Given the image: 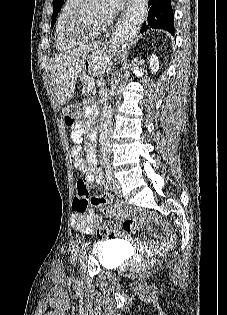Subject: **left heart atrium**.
Returning a JSON list of instances; mask_svg holds the SVG:
<instances>
[{
	"label": "left heart atrium",
	"mask_w": 227,
	"mask_h": 315,
	"mask_svg": "<svg viewBox=\"0 0 227 315\" xmlns=\"http://www.w3.org/2000/svg\"><path fill=\"white\" fill-rule=\"evenodd\" d=\"M127 0H101L100 13L104 22H110L126 5Z\"/></svg>",
	"instance_id": "1"
}]
</instances>
